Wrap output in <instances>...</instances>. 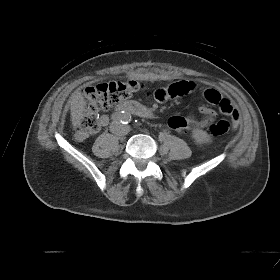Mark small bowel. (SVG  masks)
Wrapping results in <instances>:
<instances>
[{
	"label": "small bowel",
	"mask_w": 280,
	"mask_h": 280,
	"mask_svg": "<svg viewBox=\"0 0 280 280\" xmlns=\"http://www.w3.org/2000/svg\"><path fill=\"white\" fill-rule=\"evenodd\" d=\"M196 88V85L192 81L181 80L170 84L167 87L159 88L153 93V97L158 102H165L167 100L178 98L184 95H187L193 92ZM204 98L208 103L217 105L220 111L223 114H226L230 117L233 115L236 116V121L234 126L238 125L239 122V113L231 102L221 96V94L215 89H207L204 92ZM200 113L202 118L197 119L195 117H181L173 116L169 119L168 125L171 129L178 132H186L193 129H198L210 125L216 118V112L208 107L201 106ZM108 122V117L102 115L100 117V126H104ZM90 135L86 131H78L76 138L80 141L85 140Z\"/></svg>",
	"instance_id": "1"
}]
</instances>
